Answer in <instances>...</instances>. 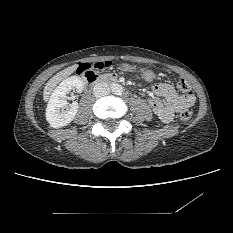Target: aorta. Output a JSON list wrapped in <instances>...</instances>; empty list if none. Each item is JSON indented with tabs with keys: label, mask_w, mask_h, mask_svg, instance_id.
Instances as JSON below:
<instances>
[{
	"label": "aorta",
	"mask_w": 233,
	"mask_h": 233,
	"mask_svg": "<svg viewBox=\"0 0 233 233\" xmlns=\"http://www.w3.org/2000/svg\"><path fill=\"white\" fill-rule=\"evenodd\" d=\"M113 91H114L116 94H121L122 91H123V88H122L121 85L116 84V85L114 86V88H113Z\"/></svg>",
	"instance_id": "1"
}]
</instances>
